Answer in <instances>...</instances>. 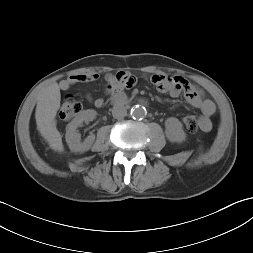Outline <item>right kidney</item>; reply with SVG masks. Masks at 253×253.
<instances>
[{"mask_svg": "<svg viewBox=\"0 0 253 253\" xmlns=\"http://www.w3.org/2000/svg\"><path fill=\"white\" fill-rule=\"evenodd\" d=\"M96 117V111L85 110L78 114L66 128V142L69 149L73 152H86L88 151L93 142L95 141V135H89L83 142H81V136L77 132V128L80 127L85 121H92Z\"/></svg>", "mask_w": 253, "mask_h": 253, "instance_id": "obj_1", "label": "right kidney"}]
</instances>
